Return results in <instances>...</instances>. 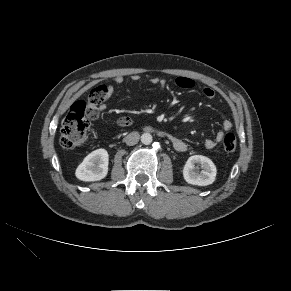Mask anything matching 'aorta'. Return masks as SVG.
Listing matches in <instances>:
<instances>
[{
    "mask_svg": "<svg viewBox=\"0 0 291 291\" xmlns=\"http://www.w3.org/2000/svg\"><path fill=\"white\" fill-rule=\"evenodd\" d=\"M152 140V135L150 133H143L141 135V142L145 145L151 144Z\"/></svg>",
    "mask_w": 291,
    "mask_h": 291,
    "instance_id": "1",
    "label": "aorta"
}]
</instances>
